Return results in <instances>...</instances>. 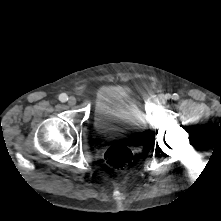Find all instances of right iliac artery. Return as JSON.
I'll return each mask as SVG.
<instances>
[{"mask_svg":"<svg viewBox=\"0 0 221 221\" xmlns=\"http://www.w3.org/2000/svg\"><path fill=\"white\" fill-rule=\"evenodd\" d=\"M59 100L61 102H66L68 100V96L65 93L59 95Z\"/></svg>","mask_w":221,"mask_h":221,"instance_id":"82829eb1","label":"right iliac artery"}]
</instances>
